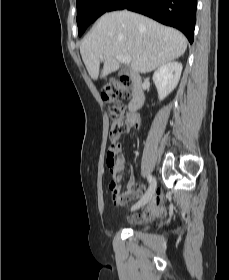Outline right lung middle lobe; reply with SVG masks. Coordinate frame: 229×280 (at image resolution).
<instances>
[{
	"mask_svg": "<svg viewBox=\"0 0 229 280\" xmlns=\"http://www.w3.org/2000/svg\"><path fill=\"white\" fill-rule=\"evenodd\" d=\"M116 0H77L78 34L81 36L86 28L103 13L110 10Z\"/></svg>",
	"mask_w": 229,
	"mask_h": 280,
	"instance_id": "right-lung-middle-lobe-1",
	"label": "right lung middle lobe"
}]
</instances>
